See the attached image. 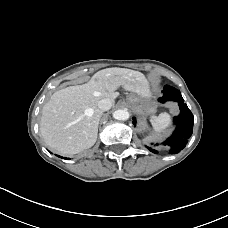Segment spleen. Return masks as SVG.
Returning <instances> with one entry per match:
<instances>
[{"label": "spleen", "instance_id": "3e777b00", "mask_svg": "<svg viewBox=\"0 0 228 228\" xmlns=\"http://www.w3.org/2000/svg\"><path fill=\"white\" fill-rule=\"evenodd\" d=\"M150 122L154 130L161 133L170 125L171 117L167 113H162L159 116H151Z\"/></svg>", "mask_w": 228, "mask_h": 228}]
</instances>
